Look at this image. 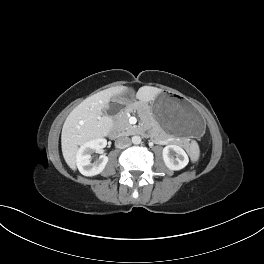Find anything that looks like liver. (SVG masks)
Listing matches in <instances>:
<instances>
[{
    "mask_svg": "<svg viewBox=\"0 0 264 264\" xmlns=\"http://www.w3.org/2000/svg\"><path fill=\"white\" fill-rule=\"evenodd\" d=\"M124 86L112 87L98 92L81 102L66 118L61 134L63 157L67 165L76 169V154L78 146L87 141L105 137L113 127V119L103 114V109L109 107L112 97L127 92ZM162 92L156 87H141L136 98L146 103Z\"/></svg>",
    "mask_w": 264,
    "mask_h": 264,
    "instance_id": "obj_1",
    "label": "liver"
}]
</instances>
